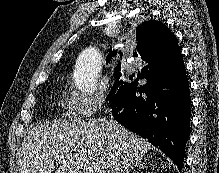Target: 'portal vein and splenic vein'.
Here are the masks:
<instances>
[{
  "label": "portal vein and splenic vein",
  "instance_id": "18ae733b",
  "mask_svg": "<svg viewBox=\"0 0 219 173\" xmlns=\"http://www.w3.org/2000/svg\"><path fill=\"white\" fill-rule=\"evenodd\" d=\"M94 173V171H92V170H86V173Z\"/></svg>",
  "mask_w": 219,
  "mask_h": 173
}]
</instances>
